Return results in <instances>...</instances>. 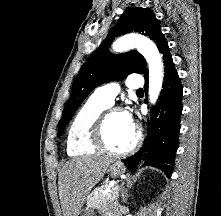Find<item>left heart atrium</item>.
<instances>
[{
    "instance_id": "obj_1",
    "label": "left heart atrium",
    "mask_w": 221,
    "mask_h": 216,
    "mask_svg": "<svg viewBox=\"0 0 221 216\" xmlns=\"http://www.w3.org/2000/svg\"><path fill=\"white\" fill-rule=\"evenodd\" d=\"M124 117H125V120L127 122V124L129 125V127L131 129H135V121H134V117H133V114L131 112H124Z\"/></svg>"
}]
</instances>
